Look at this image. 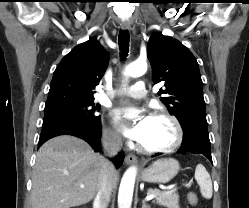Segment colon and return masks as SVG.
Segmentation results:
<instances>
[{"mask_svg": "<svg viewBox=\"0 0 249 208\" xmlns=\"http://www.w3.org/2000/svg\"><path fill=\"white\" fill-rule=\"evenodd\" d=\"M188 201L192 206L197 205L198 197H197L196 193H194V192L188 193Z\"/></svg>", "mask_w": 249, "mask_h": 208, "instance_id": "5ec220e1", "label": "colon"}]
</instances>
